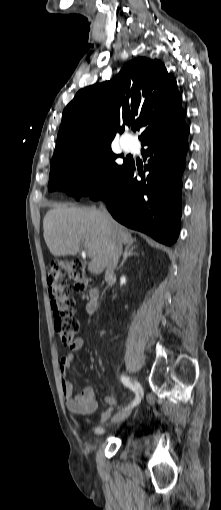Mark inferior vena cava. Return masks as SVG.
Segmentation results:
<instances>
[{
	"mask_svg": "<svg viewBox=\"0 0 221 510\" xmlns=\"http://www.w3.org/2000/svg\"><path fill=\"white\" fill-rule=\"evenodd\" d=\"M103 211L110 217L106 209L102 206ZM122 253V244L113 236L110 240L108 252H107V269L105 273V278L108 280H115L114 270L118 264L119 257Z\"/></svg>",
	"mask_w": 221,
	"mask_h": 510,
	"instance_id": "inferior-vena-cava-1",
	"label": "inferior vena cava"
}]
</instances>
